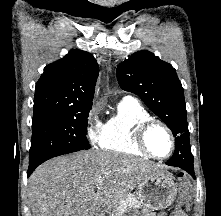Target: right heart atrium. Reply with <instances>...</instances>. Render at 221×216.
I'll use <instances>...</instances> for the list:
<instances>
[{
	"instance_id": "obj_1",
	"label": "right heart atrium",
	"mask_w": 221,
	"mask_h": 216,
	"mask_svg": "<svg viewBox=\"0 0 221 216\" xmlns=\"http://www.w3.org/2000/svg\"><path fill=\"white\" fill-rule=\"evenodd\" d=\"M102 124L98 117V109L92 108L87 122L86 135L91 144H96L99 141Z\"/></svg>"
}]
</instances>
